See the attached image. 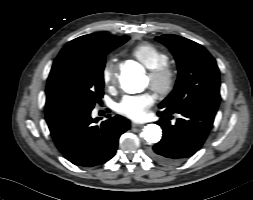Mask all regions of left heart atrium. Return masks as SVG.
I'll return each instance as SVG.
<instances>
[{"mask_svg":"<svg viewBox=\"0 0 253 200\" xmlns=\"http://www.w3.org/2000/svg\"><path fill=\"white\" fill-rule=\"evenodd\" d=\"M153 103L154 96L149 92L126 95L117 103L116 110L132 120H141Z\"/></svg>","mask_w":253,"mask_h":200,"instance_id":"left-heart-atrium-1","label":"left heart atrium"}]
</instances>
